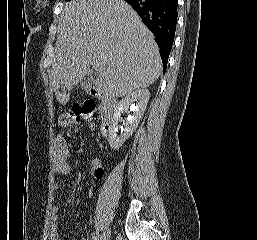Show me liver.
Segmentation results:
<instances>
[{"mask_svg": "<svg viewBox=\"0 0 257 240\" xmlns=\"http://www.w3.org/2000/svg\"><path fill=\"white\" fill-rule=\"evenodd\" d=\"M105 96L123 97L152 85L162 62L152 33L123 0H72L58 23L56 54L49 70L50 90L61 104L93 63Z\"/></svg>", "mask_w": 257, "mask_h": 240, "instance_id": "1", "label": "liver"}]
</instances>
